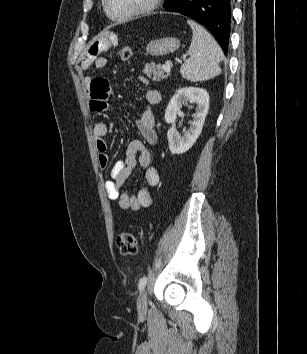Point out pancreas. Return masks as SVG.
Returning a JSON list of instances; mask_svg holds the SVG:
<instances>
[{
  "label": "pancreas",
  "instance_id": "1",
  "mask_svg": "<svg viewBox=\"0 0 307 354\" xmlns=\"http://www.w3.org/2000/svg\"><path fill=\"white\" fill-rule=\"evenodd\" d=\"M143 73L152 78L153 81H161L167 77L164 73L163 66L160 64L156 66L154 64H146Z\"/></svg>",
  "mask_w": 307,
  "mask_h": 354
}]
</instances>
